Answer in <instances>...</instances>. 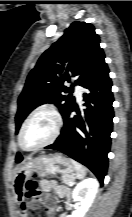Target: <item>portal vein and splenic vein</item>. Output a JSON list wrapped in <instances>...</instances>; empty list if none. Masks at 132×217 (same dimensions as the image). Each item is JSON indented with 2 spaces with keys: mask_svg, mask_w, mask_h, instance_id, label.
<instances>
[{
  "mask_svg": "<svg viewBox=\"0 0 132 217\" xmlns=\"http://www.w3.org/2000/svg\"><path fill=\"white\" fill-rule=\"evenodd\" d=\"M73 184H74V183H73V182H71V183H70V186H72Z\"/></svg>",
  "mask_w": 132,
  "mask_h": 217,
  "instance_id": "portal-vein-and-splenic-vein-1",
  "label": "portal vein and splenic vein"
}]
</instances>
